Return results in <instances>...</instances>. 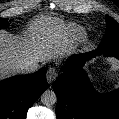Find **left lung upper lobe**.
Here are the masks:
<instances>
[{
    "mask_svg": "<svg viewBox=\"0 0 119 119\" xmlns=\"http://www.w3.org/2000/svg\"><path fill=\"white\" fill-rule=\"evenodd\" d=\"M107 30L99 47L108 50L119 49V24L108 15L106 16Z\"/></svg>",
    "mask_w": 119,
    "mask_h": 119,
    "instance_id": "left-lung-upper-lobe-1",
    "label": "left lung upper lobe"
}]
</instances>
